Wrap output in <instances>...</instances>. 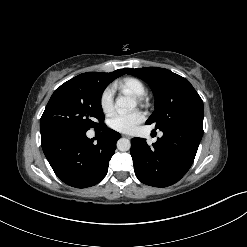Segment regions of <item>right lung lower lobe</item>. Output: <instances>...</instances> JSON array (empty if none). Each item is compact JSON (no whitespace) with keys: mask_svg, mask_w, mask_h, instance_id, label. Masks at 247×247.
<instances>
[{"mask_svg":"<svg viewBox=\"0 0 247 247\" xmlns=\"http://www.w3.org/2000/svg\"><path fill=\"white\" fill-rule=\"evenodd\" d=\"M103 131L94 144L85 133H57L41 137L44 154L55 174L67 185L86 188L99 183L107 174L109 161L120 134L112 129Z\"/></svg>","mask_w":247,"mask_h":247,"instance_id":"right-lung-lower-lobe-1","label":"right lung lower lobe"}]
</instances>
